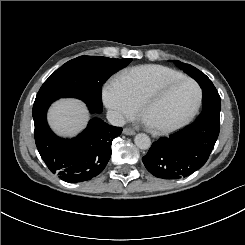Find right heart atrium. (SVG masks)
<instances>
[{
	"label": "right heart atrium",
	"instance_id": "obj_1",
	"mask_svg": "<svg viewBox=\"0 0 245 245\" xmlns=\"http://www.w3.org/2000/svg\"><path fill=\"white\" fill-rule=\"evenodd\" d=\"M103 98L106 106L110 109L113 117L117 121L130 120L137 112L136 104L126 92L113 84H108L105 87Z\"/></svg>",
	"mask_w": 245,
	"mask_h": 245
}]
</instances>
